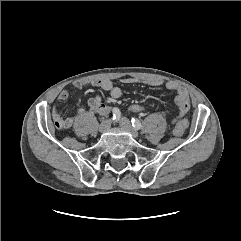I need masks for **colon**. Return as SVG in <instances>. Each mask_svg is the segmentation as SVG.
<instances>
[{
	"mask_svg": "<svg viewBox=\"0 0 241 241\" xmlns=\"http://www.w3.org/2000/svg\"><path fill=\"white\" fill-rule=\"evenodd\" d=\"M130 112L135 114H140L145 110V107L141 103H134L129 107ZM189 122L187 119L177 120L174 127V133L177 136H180L188 128Z\"/></svg>",
	"mask_w": 241,
	"mask_h": 241,
	"instance_id": "1",
	"label": "colon"
}]
</instances>
